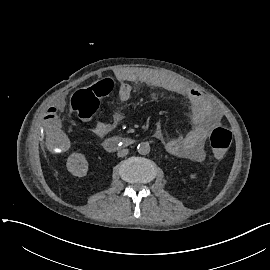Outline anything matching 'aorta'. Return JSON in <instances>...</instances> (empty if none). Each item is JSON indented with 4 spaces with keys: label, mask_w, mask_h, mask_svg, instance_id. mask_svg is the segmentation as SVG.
Listing matches in <instances>:
<instances>
[{
    "label": "aorta",
    "mask_w": 270,
    "mask_h": 270,
    "mask_svg": "<svg viewBox=\"0 0 270 270\" xmlns=\"http://www.w3.org/2000/svg\"><path fill=\"white\" fill-rule=\"evenodd\" d=\"M137 150L140 155H147L149 154L151 148L148 142H142L138 144Z\"/></svg>",
    "instance_id": "obj_1"
}]
</instances>
